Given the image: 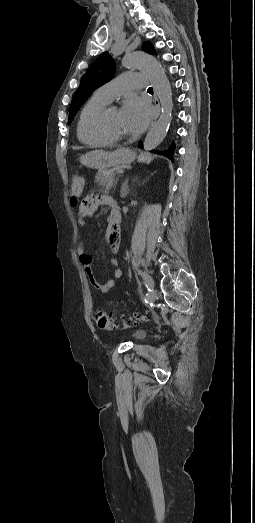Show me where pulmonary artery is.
Masks as SVG:
<instances>
[{
    "mask_svg": "<svg viewBox=\"0 0 255 523\" xmlns=\"http://www.w3.org/2000/svg\"><path fill=\"white\" fill-rule=\"evenodd\" d=\"M146 78L141 72H121L119 77H114L111 83L102 85L98 90L108 99L113 100L115 97L129 92H138L145 88Z\"/></svg>",
    "mask_w": 255,
    "mask_h": 523,
    "instance_id": "1",
    "label": "pulmonary artery"
}]
</instances>
